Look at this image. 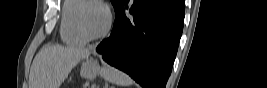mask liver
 <instances>
[{
    "instance_id": "obj_1",
    "label": "liver",
    "mask_w": 267,
    "mask_h": 88,
    "mask_svg": "<svg viewBox=\"0 0 267 88\" xmlns=\"http://www.w3.org/2000/svg\"><path fill=\"white\" fill-rule=\"evenodd\" d=\"M89 55L90 50L75 46L43 47L33 60L29 88H59L73 67Z\"/></svg>"
}]
</instances>
